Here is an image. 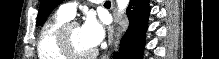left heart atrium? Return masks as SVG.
<instances>
[{
  "instance_id": "1",
  "label": "left heart atrium",
  "mask_w": 219,
  "mask_h": 59,
  "mask_svg": "<svg viewBox=\"0 0 219 59\" xmlns=\"http://www.w3.org/2000/svg\"><path fill=\"white\" fill-rule=\"evenodd\" d=\"M80 32L83 39L91 47L95 48L102 41L104 29L102 24L93 16H88L82 26Z\"/></svg>"
}]
</instances>
